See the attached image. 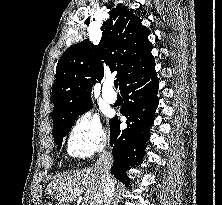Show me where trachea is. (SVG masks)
I'll use <instances>...</instances> for the list:
<instances>
[{
    "label": "trachea",
    "instance_id": "obj_1",
    "mask_svg": "<svg viewBox=\"0 0 222 205\" xmlns=\"http://www.w3.org/2000/svg\"><path fill=\"white\" fill-rule=\"evenodd\" d=\"M114 86L117 88L118 87V81H114Z\"/></svg>",
    "mask_w": 222,
    "mask_h": 205
}]
</instances>
